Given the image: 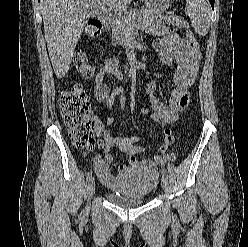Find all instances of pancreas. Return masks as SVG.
Here are the masks:
<instances>
[{"instance_id": "pancreas-1", "label": "pancreas", "mask_w": 248, "mask_h": 247, "mask_svg": "<svg viewBox=\"0 0 248 247\" xmlns=\"http://www.w3.org/2000/svg\"><path fill=\"white\" fill-rule=\"evenodd\" d=\"M166 23L177 26L178 28L186 27L187 23L179 17L163 18L154 11L146 9H134L122 15L114 16L109 26L112 28V37L121 44L127 41V33L135 28L156 30Z\"/></svg>"}]
</instances>
